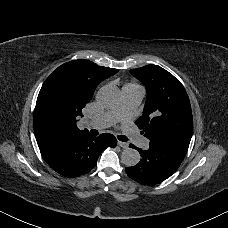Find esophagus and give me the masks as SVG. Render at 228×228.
<instances>
[{"instance_id":"esophagus-1","label":"esophagus","mask_w":228,"mask_h":228,"mask_svg":"<svg viewBox=\"0 0 228 228\" xmlns=\"http://www.w3.org/2000/svg\"><path fill=\"white\" fill-rule=\"evenodd\" d=\"M118 145L124 149H127L128 148V143H125V142H122V141H118Z\"/></svg>"}]
</instances>
